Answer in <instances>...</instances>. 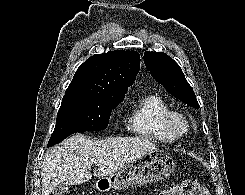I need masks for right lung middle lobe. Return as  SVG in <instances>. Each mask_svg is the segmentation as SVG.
<instances>
[{"instance_id":"right-lung-middle-lobe-1","label":"right lung middle lobe","mask_w":245,"mask_h":195,"mask_svg":"<svg viewBox=\"0 0 245 195\" xmlns=\"http://www.w3.org/2000/svg\"><path fill=\"white\" fill-rule=\"evenodd\" d=\"M122 99L94 94H65L47 146L51 147L73 133L104 130L112 109Z\"/></svg>"}]
</instances>
